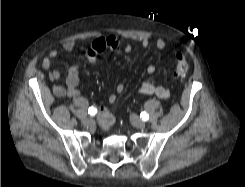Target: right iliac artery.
Returning <instances> with one entry per match:
<instances>
[{"mask_svg":"<svg viewBox=\"0 0 245 187\" xmlns=\"http://www.w3.org/2000/svg\"><path fill=\"white\" fill-rule=\"evenodd\" d=\"M88 113L91 115V116H94L96 113H97V109L95 107H90L88 109Z\"/></svg>","mask_w":245,"mask_h":187,"instance_id":"1","label":"right iliac artery"}]
</instances>
